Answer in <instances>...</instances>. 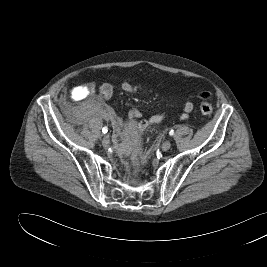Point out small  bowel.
<instances>
[{
	"label": "small bowel",
	"instance_id": "obj_1",
	"mask_svg": "<svg viewBox=\"0 0 267 267\" xmlns=\"http://www.w3.org/2000/svg\"><path fill=\"white\" fill-rule=\"evenodd\" d=\"M123 89L127 92H137L140 90V86L131 85L129 83L123 84ZM87 92L89 94H93L96 90V84L90 83L87 86ZM97 90L101 96V98L105 101H108L113 95V87L109 83H102L97 87ZM193 110V103L189 100H184L182 103V113L180 117L182 119H187L188 114ZM142 116V111L139 108H131L127 114L126 119V128L123 134L129 138H136L141 132H143L150 125L158 124L162 122L165 118V114H154L150 116L148 119L139 120ZM103 117L109 120L116 131H120L121 127V119L115 115V113L111 110H106L103 112ZM134 153L137 156L141 155V150L139 147L134 148Z\"/></svg>",
	"mask_w": 267,
	"mask_h": 267
}]
</instances>
